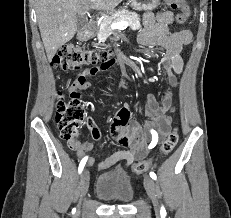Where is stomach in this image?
Wrapping results in <instances>:
<instances>
[{"label": "stomach", "instance_id": "obj_1", "mask_svg": "<svg viewBox=\"0 0 231 218\" xmlns=\"http://www.w3.org/2000/svg\"><path fill=\"white\" fill-rule=\"evenodd\" d=\"M131 7L136 10H153L159 5V0H129Z\"/></svg>", "mask_w": 231, "mask_h": 218}]
</instances>
